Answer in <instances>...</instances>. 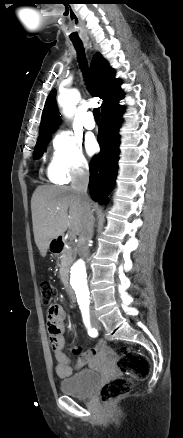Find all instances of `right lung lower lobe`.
Masks as SVG:
<instances>
[{"instance_id":"obj_1","label":"right lung lower lobe","mask_w":183,"mask_h":438,"mask_svg":"<svg viewBox=\"0 0 183 438\" xmlns=\"http://www.w3.org/2000/svg\"><path fill=\"white\" fill-rule=\"evenodd\" d=\"M124 108L115 103L101 113L102 126L97 137L101 151L90 164L89 190L93 199L104 203L114 186L119 155V128Z\"/></svg>"}]
</instances>
